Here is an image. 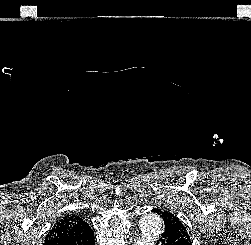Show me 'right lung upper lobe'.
<instances>
[{"label":"right lung upper lobe","instance_id":"obj_1","mask_svg":"<svg viewBox=\"0 0 251 245\" xmlns=\"http://www.w3.org/2000/svg\"><path fill=\"white\" fill-rule=\"evenodd\" d=\"M90 229V226L81 217L67 215L56 222L52 230L48 233L45 240L79 235L83 231Z\"/></svg>","mask_w":251,"mask_h":245}]
</instances>
